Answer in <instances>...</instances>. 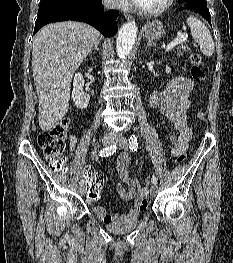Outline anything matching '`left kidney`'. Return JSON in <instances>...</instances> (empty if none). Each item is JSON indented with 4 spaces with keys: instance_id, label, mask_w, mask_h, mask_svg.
I'll return each instance as SVG.
<instances>
[{
    "instance_id": "left-kidney-1",
    "label": "left kidney",
    "mask_w": 233,
    "mask_h": 263,
    "mask_svg": "<svg viewBox=\"0 0 233 263\" xmlns=\"http://www.w3.org/2000/svg\"><path fill=\"white\" fill-rule=\"evenodd\" d=\"M166 73H170L171 72V69L167 66L166 69H165Z\"/></svg>"
}]
</instances>
